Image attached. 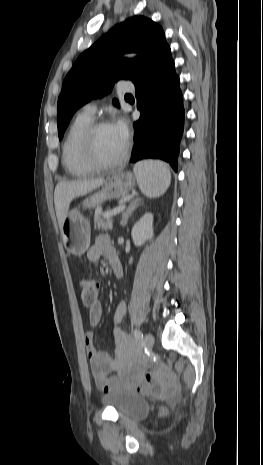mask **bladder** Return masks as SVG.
<instances>
[{
  "instance_id": "obj_1",
  "label": "bladder",
  "mask_w": 263,
  "mask_h": 465,
  "mask_svg": "<svg viewBox=\"0 0 263 465\" xmlns=\"http://www.w3.org/2000/svg\"><path fill=\"white\" fill-rule=\"evenodd\" d=\"M102 402L113 407L119 415L132 419H142L150 411V404L145 397L124 390L105 394L102 397Z\"/></svg>"
}]
</instances>
